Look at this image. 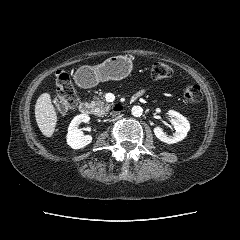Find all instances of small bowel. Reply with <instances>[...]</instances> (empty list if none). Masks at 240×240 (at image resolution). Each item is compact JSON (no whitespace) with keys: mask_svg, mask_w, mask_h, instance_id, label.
Segmentation results:
<instances>
[{"mask_svg":"<svg viewBox=\"0 0 240 240\" xmlns=\"http://www.w3.org/2000/svg\"><path fill=\"white\" fill-rule=\"evenodd\" d=\"M143 93H144V91H141V92H140V94H143Z\"/></svg>","mask_w":240,"mask_h":240,"instance_id":"c3829d8e","label":"small bowel"}]
</instances>
